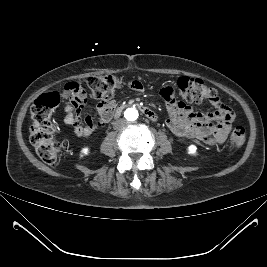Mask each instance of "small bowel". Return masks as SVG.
<instances>
[{
	"mask_svg": "<svg viewBox=\"0 0 267 267\" xmlns=\"http://www.w3.org/2000/svg\"><path fill=\"white\" fill-rule=\"evenodd\" d=\"M129 87L135 91L143 90L142 84L135 80L129 82ZM160 94L165 101L169 115L166 124L179 139H197L210 146L222 144L227 139L232 128L234 113L221 100L218 98L214 100L212 104L215 110L204 114L178 101L171 84L164 85L160 89ZM60 97L66 101L63 107V120L66 124L73 126L77 137L90 136L95 128L107 123L113 116L115 104L113 102L100 103L97 107L99 121L95 123L92 117L87 115L86 125H81L82 108L88 98L78 81L66 83Z\"/></svg>",
	"mask_w": 267,
	"mask_h": 267,
	"instance_id": "obj_1",
	"label": "small bowel"
}]
</instances>
